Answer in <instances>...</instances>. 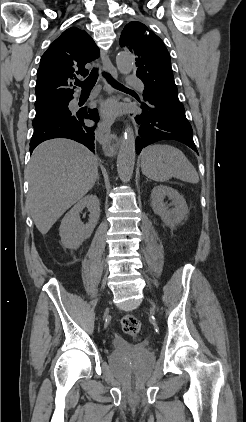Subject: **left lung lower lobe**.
<instances>
[{
    "label": "left lung lower lobe",
    "mask_w": 246,
    "mask_h": 422,
    "mask_svg": "<svg viewBox=\"0 0 246 422\" xmlns=\"http://www.w3.org/2000/svg\"><path fill=\"white\" fill-rule=\"evenodd\" d=\"M139 102L142 112L135 117L139 126L137 154L142 148L164 139L177 140L197 152L192 127L185 116L184 108L173 107L153 96Z\"/></svg>",
    "instance_id": "obj_1"
}]
</instances>
